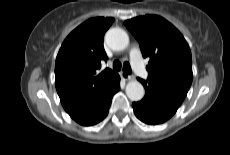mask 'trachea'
Segmentation results:
<instances>
[{
    "instance_id": "obj_1",
    "label": "trachea",
    "mask_w": 230,
    "mask_h": 155,
    "mask_svg": "<svg viewBox=\"0 0 230 155\" xmlns=\"http://www.w3.org/2000/svg\"><path fill=\"white\" fill-rule=\"evenodd\" d=\"M121 68L123 69V71L126 73V74H131L132 71H131V66L128 62H124L123 65L121 64V62L119 60H115L113 62V69L115 71H120Z\"/></svg>"
}]
</instances>
